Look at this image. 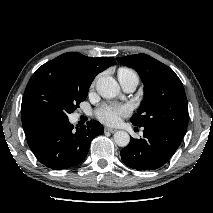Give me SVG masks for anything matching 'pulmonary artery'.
<instances>
[{
	"label": "pulmonary artery",
	"mask_w": 213,
	"mask_h": 213,
	"mask_svg": "<svg viewBox=\"0 0 213 213\" xmlns=\"http://www.w3.org/2000/svg\"><path fill=\"white\" fill-rule=\"evenodd\" d=\"M118 80L125 92H133L138 85V77L135 74H120Z\"/></svg>",
	"instance_id": "obj_1"
}]
</instances>
